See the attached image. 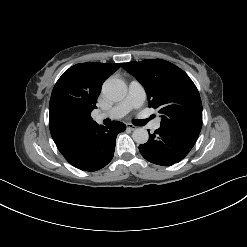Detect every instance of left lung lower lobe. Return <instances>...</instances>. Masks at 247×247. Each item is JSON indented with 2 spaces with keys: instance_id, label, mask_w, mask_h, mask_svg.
Returning a JSON list of instances; mask_svg holds the SVG:
<instances>
[{
  "instance_id": "0a47b994",
  "label": "left lung lower lobe",
  "mask_w": 247,
  "mask_h": 247,
  "mask_svg": "<svg viewBox=\"0 0 247 247\" xmlns=\"http://www.w3.org/2000/svg\"><path fill=\"white\" fill-rule=\"evenodd\" d=\"M199 132L174 126H160L149 140L139 146L142 156L151 163L171 166L180 162L192 149Z\"/></svg>"
}]
</instances>
